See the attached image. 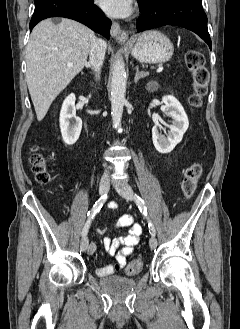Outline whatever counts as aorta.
Instances as JSON below:
<instances>
[{
    "label": "aorta",
    "mask_w": 240,
    "mask_h": 329,
    "mask_svg": "<svg viewBox=\"0 0 240 329\" xmlns=\"http://www.w3.org/2000/svg\"><path fill=\"white\" fill-rule=\"evenodd\" d=\"M126 72L123 59H117L113 67L111 79V116L115 127L122 119L123 108L126 102Z\"/></svg>",
    "instance_id": "obj_1"
}]
</instances>
